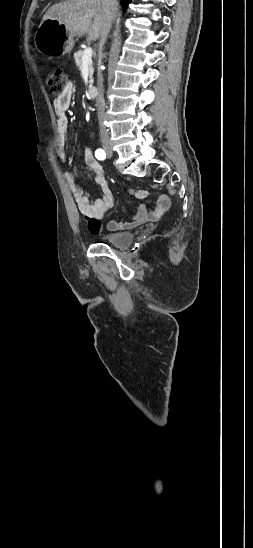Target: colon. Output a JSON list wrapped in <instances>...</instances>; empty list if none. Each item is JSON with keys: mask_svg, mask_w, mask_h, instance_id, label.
Segmentation results:
<instances>
[{"mask_svg": "<svg viewBox=\"0 0 253 548\" xmlns=\"http://www.w3.org/2000/svg\"><path fill=\"white\" fill-rule=\"evenodd\" d=\"M47 84L53 94H61L68 84L65 72L61 68L52 69L48 74Z\"/></svg>", "mask_w": 253, "mask_h": 548, "instance_id": "5ec220e1", "label": "colon"}]
</instances>
